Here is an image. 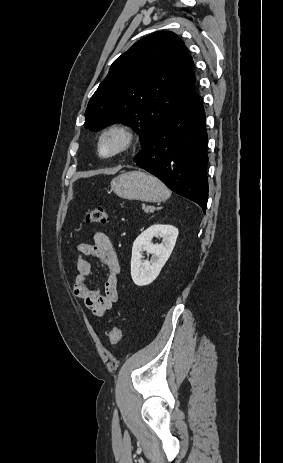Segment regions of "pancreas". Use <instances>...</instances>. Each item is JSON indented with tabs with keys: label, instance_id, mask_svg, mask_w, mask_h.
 Here are the masks:
<instances>
[{
	"label": "pancreas",
	"instance_id": "1",
	"mask_svg": "<svg viewBox=\"0 0 283 463\" xmlns=\"http://www.w3.org/2000/svg\"><path fill=\"white\" fill-rule=\"evenodd\" d=\"M142 210H144V212H146V213H149V212L151 213V212H154V211H155V208L153 209L152 206H145V205H143V206H142Z\"/></svg>",
	"mask_w": 283,
	"mask_h": 463
}]
</instances>
